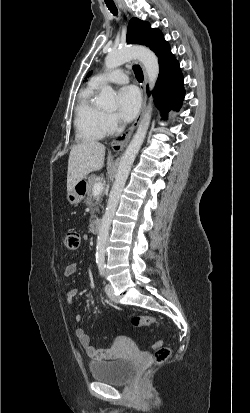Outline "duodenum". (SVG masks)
<instances>
[{
  "mask_svg": "<svg viewBox=\"0 0 250 413\" xmlns=\"http://www.w3.org/2000/svg\"><path fill=\"white\" fill-rule=\"evenodd\" d=\"M102 225V220L101 219H95L91 225H90V230L93 234H97L101 228Z\"/></svg>",
  "mask_w": 250,
  "mask_h": 413,
  "instance_id": "obj_1",
  "label": "duodenum"
}]
</instances>
